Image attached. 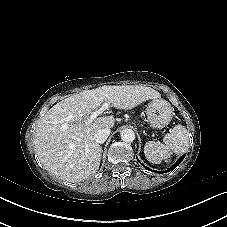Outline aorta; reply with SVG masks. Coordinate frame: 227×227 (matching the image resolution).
<instances>
[{
    "mask_svg": "<svg viewBox=\"0 0 227 227\" xmlns=\"http://www.w3.org/2000/svg\"><path fill=\"white\" fill-rule=\"evenodd\" d=\"M120 134L124 142H133L135 139V133L132 129H123Z\"/></svg>",
    "mask_w": 227,
    "mask_h": 227,
    "instance_id": "762f6f07",
    "label": "aorta"
}]
</instances>
